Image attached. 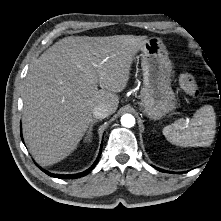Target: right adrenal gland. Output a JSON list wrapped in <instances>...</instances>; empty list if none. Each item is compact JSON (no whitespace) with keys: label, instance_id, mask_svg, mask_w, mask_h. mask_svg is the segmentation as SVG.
<instances>
[{"label":"right adrenal gland","instance_id":"1","mask_svg":"<svg viewBox=\"0 0 221 221\" xmlns=\"http://www.w3.org/2000/svg\"><path fill=\"white\" fill-rule=\"evenodd\" d=\"M98 120H93L89 126V129L87 131L86 137H85V141H91L92 139V130H93V126L95 125V123H97Z\"/></svg>","mask_w":221,"mask_h":221}]
</instances>
